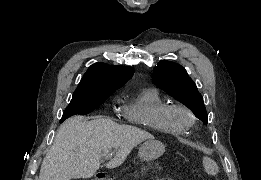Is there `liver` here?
I'll return each instance as SVG.
<instances>
[{
  "label": "liver",
  "mask_w": 261,
  "mask_h": 180,
  "mask_svg": "<svg viewBox=\"0 0 261 180\" xmlns=\"http://www.w3.org/2000/svg\"><path fill=\"white\" fill-rule=\"evenodd\" d=\"M153 140L152 134L105 116H73L61 124L52 148L47 152L39 180H87L100 168V158L114 154L106 168L121 166L131 150Z\"/></svg>",
  "instance_id": "obj_1"
}]
</instances>
